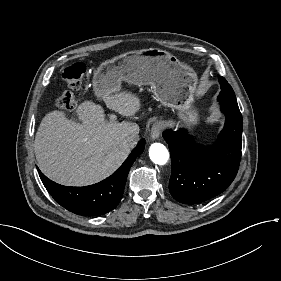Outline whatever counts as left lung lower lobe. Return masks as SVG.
<instances>
[{"label":"left lung lower lobe","mask_w":281,"mask_h":281,"mask_svg":"<svg viewBox=\"0 0 281 281\" xmlns=\"http://www.w3.org/2000/svg\"><path fill=\"white\" fill-rule=\"evenodd\" d=\"M226 122L218 141L204 147L186 130H166L172 173L169 191L177 201L198 204L222 193L234 180L241 159L242 115L236 100L218 99Z\"/></svg>","instance_id":"0a47b994"}]
</instances>
